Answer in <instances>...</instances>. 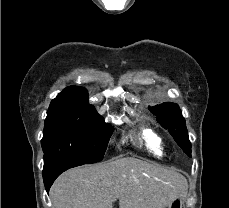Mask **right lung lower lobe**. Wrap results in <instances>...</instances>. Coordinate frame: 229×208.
Returning a JSON list of instances; mask_svg holds the SVG:
<instances>
[{
	"label": "right lung lower lobe",
	"mask_w": 229,
	"mask_h": 208,
	"mask_svg": "<svg viewBox=\"0 0 229 208\" xmlns=\"http://www.w3.org/2000/svg\"><path fill=\"white\" fill-rule=\"evenodd\" d=\"M83 165V163L79 162H64L56 165L53 168L48 169L47 171H43V180L44 185L47 193L49 192V189L51 185L53 184L54 180L64 171L67 169Z\"/></svg>",
	"instance_id": "obj_1"
}]
</instances>
